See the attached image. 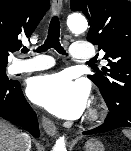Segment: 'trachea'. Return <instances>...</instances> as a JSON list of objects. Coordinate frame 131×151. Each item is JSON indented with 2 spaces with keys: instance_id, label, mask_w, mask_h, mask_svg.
<instances>
[{
  "instance_id": "1",
  "label": "trachea",
  "mask_w": 131,
  "mask_h": 151,
  "mask_svg": "<svg viewBox=\"0 0 131 151\" xmlns=\"http://www.w3.org/2000/svg\"><path fill=\"white\" fill-rule=\"evenodd\" d=\"M60 22L57 16H54L49 25L48 35L43 45L39 46L36 52L41 53L45 52L50 48H54L58 53L65 55L66 52L64 48L61 46L60 41ZM22 53L29 52V49L24 48L21 50ZM90 65H94L92 62H88Z\"/></svg>"
}]
</instances>
